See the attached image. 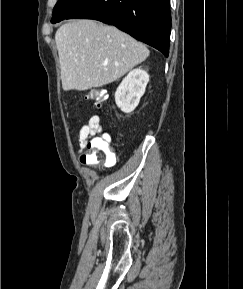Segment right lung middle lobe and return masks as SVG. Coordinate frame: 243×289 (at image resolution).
Here are the masks:
<instances>
[{
  "label": "right lung middle lobe",
  "instance_id": "obj_1",
  "mask_svg": "<svg viewBox=\"0 0 243 289\" xmlns=\"http://www.w3.org/2000/svg\"><path fill=\"white\" fill-rule=\"evenodd\" d=\"M84 0H58L53 9L52 23L60 22L76 9Z\"/></svg>",
  "mask_w": 243,
  "mask_h": 289
}]
</instances>
